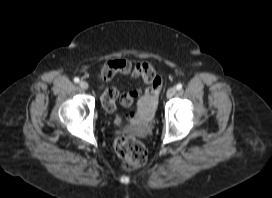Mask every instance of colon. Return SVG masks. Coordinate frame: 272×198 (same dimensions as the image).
Instances as JSON below:
<instances>
[{
	"instance_id": "colon-1",
	"label": "colon",
	"mask_w": 272,
	"mask_h": 198,
	"mask_svg": "<svg viewBox=\"0 0 272 198\" xmlns=\"http://www.w3.org/2000/svg\"><path fill=\"white\" fill-rule=\"evenodd\" d=\"M102 74L105 79L112 77L111 68H104ZM135 118L136 112H132L128 116V119L131 121ZM114 147L118 156L122 159L123 167L126 170L137 169L147 162V151L145 147L133 137L122 136L117 138Z\"/></svg>"
}]
</instances>
